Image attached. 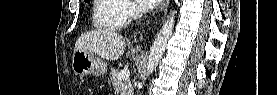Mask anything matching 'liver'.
<instances>
[{"label": "liver", "instance_id": "6515ba94", "mask_svg": "<svg viewBox=\"0 0 277 95\" xmlns=\"http://www.w3.org/2000/svg\"><path fill=\"white\" fill-rule=\"evenodd\" d=\"M125 46L122 35L108 30H96L82 34L75 43L74 52L85 50L113 61L119 59Z\"/></svg>", "mask_w": 277, "mask_h": 95}]
</instances>
